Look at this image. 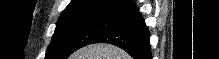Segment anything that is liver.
<instances>
[{
	"mask_svg": "<svg viewBox=\"0 0 219 59\" xmlns=\"http://www.w3.org/2000/svg\"><path fill=\"white\" fill-rule=\"evenodd\" d=\"M70 59H131V57L116 46L93 44L77 50Z\"/></svg>",
	"mask_w": 219,
	"mask_h": 59,
	"instance_id": "1",
	"label": "liver"
}]
</instances>
